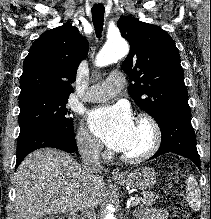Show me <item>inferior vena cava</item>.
Segmentation results:
<instances>
[{
    "instance_id": "1",
    "label": "inferior vena cava",
    "mask_w": 211,
    "mask_h": 219,
    "mask_svg": "<svg viewBox=\"0 0 211 219\" xmlns=\"http://www.w3.org/2000/svg\"><path fill=\"white\" fill-rule=\"evenodd\" d=\"M101 150V145L91 138L85 139L80 144L79 152L81 154L83 168L89 177L103 170L102 162L100 161ZM81 219H96L95 210L91 204L85 203L82 206Z\"/></svg>"
}]
</instances>
